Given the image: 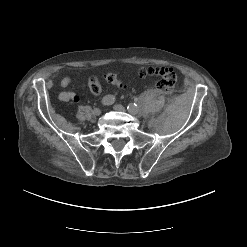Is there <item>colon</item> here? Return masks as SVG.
I'll use <instances>...</instances> for the list:
<instances>
[{
	"label": "colon",
	"mask_w": 247,
	"mask_h": 247,
	"mask_svg": "<svg viewBox=\"0 0 247 247\" xmlns=\"http://www.w3.org/2000/svg\"><path fill=\"white\" fill-rule=\"evenodd\" d=\"M140 75L145 76H157L159 78L157 82V88L165 93H170L173 91L177 83V74L170 68L165 66L154 67V66H145L140 69ZM105 80L112 85L122 88L124 84L122 81L113 73H107L105 75ZM90 91L98 95L101 92V83L97 78H92L89 83Z\"/></svg>",
	"instance_id": "5ec220e1"
}]
</instances>
